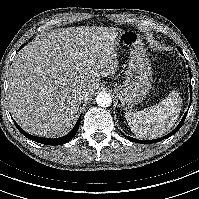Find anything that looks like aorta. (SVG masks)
Listing matches in <instances>:
<instances>
[{"mask_svg":"<svg viewBox=\"0 0 199 199\" xmlns=\"http://www.w3.org/2000/svg\"><path fill=\"white\" fill-rule=\"evenodd\" d=\"M112 102V98L109 93L100 92L96 97V103L100 107H109Z\"/></svg>","mask_w":199,"mask_h":199,"instance_id":"1","label":"aorta"}]
</instances>
